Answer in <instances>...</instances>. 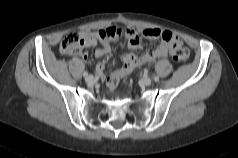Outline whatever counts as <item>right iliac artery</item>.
<instances>
[{
	"mask_svg": "<svg viewBox=\"0 0 238 158\" xmlns=\"http://www.w3.org/2000/svg\"><path fill=\"white\" fill-rule=\"evenodd\" d=\"M83 76L84 77H87L88 76V73L85 71V72H83Z\"/></svg>",
	"mask_w": 238,
	"mask_h": 158,
	"instance_id": "right-iliac-artery-1",
	"label": "right iliac artery"
}]
</instances>
